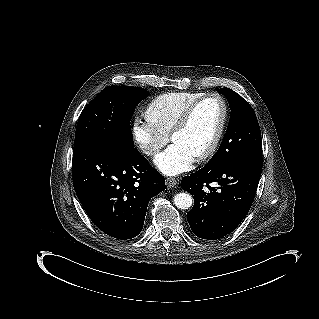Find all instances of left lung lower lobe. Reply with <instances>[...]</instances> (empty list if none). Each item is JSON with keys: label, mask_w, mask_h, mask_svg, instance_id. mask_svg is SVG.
Instances as JSON below:
<instances>
[{"label": "left lung lower lobe", "mask_w": 319, "mask_h": 319, "mask_svg": "<svg viewBox=\"0 0 319 319\" xmlns=\"http://www.w3.org/2000/svg\"><path fill=\"white\" fill-rule=\"evenodd\" d=\"M262 171V155H249L227 163H207L181 181L194 197L187 213L193 233L206 240L234 231L253 203Z\"/></svg>", "instance_id": "1"}]
</instances>
